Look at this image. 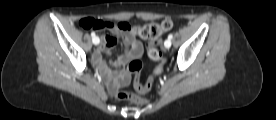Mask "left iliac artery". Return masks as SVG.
Listing matches in <instances>:
<instances>
[{"instance_id":"obj_1","label":"left iliac artery","mask_w":276,"mask_h":120,"mask_svg":"<svg viewBox=\"0 0 276 120\" xmlns=\"http://www.w3.org/2000/svg\"><path fill=\"white\" fill-rule=\"evenodd\" d=\"M172 38H173V35L169 34L168 39L171 40ZM164 45H165V47H168L166 44H164Z\"/></svg>"}]
</instances>
